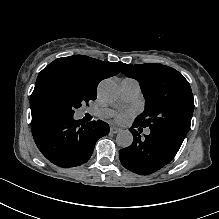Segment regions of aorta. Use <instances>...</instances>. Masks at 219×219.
Listing matches in <instances>:
<instances>
[{
	"label": "aorta",
	"instance_id": "obj_1",
	"mask_svg": "<svg viewBox=\"0 0 219 219\" xmlns=\"http://www.w3.org/2000/svg\"><path fill=\"white\" fill-rule=\"evenodd\" d=\"M98 93L100 99L109 104L114 103L119 98L118 87L110 79H106L99 84ZM116 142L122 148L129 147L133 142V135L128 130H122L118 132Z\"/></svg>",
	"mask_w": 219,
	"mask_h": 219
}]
</instances>
